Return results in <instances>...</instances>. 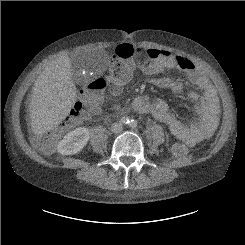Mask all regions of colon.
Returning a JSON list of instances; mask_svg holds the SVG:
<instances>
[{
	"instance_id": "5ec220e1",
	"label": "colon",
	"mask_w": 245,
	"mask_h": 245,
	"mask_svg": "<svg viewBox=\"0 0 245 245\" xmlns=\"http://www.w3.org/2000/svg\"><path fill=\"white\" fill-rule=\"evenodd\" d=\"M147 63L150 69L153 64L148 62L147 57L141 49H135L130 45L124 46L119 54L111 61L108 72L104 76L94 78L83 85L80 90V100L75 103L73 112L64 119L62 124L49 132L39 136L37 142L43 147L51 146L62 133L71 130L84 118L81 114L85 111L86 116H94L100 108V96L107 89H118L127 82L131 75L133 66L137 63ZM188 146L181 142L170 145L173 156L183 158L188 154Z\"/></svg>"
}]
</instances>
